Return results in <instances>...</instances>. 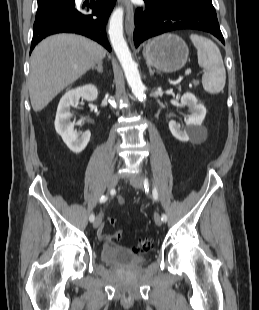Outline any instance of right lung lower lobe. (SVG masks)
I'll return each mask as SVG.
<instances>
[{
    "instance_id": "obj_1",
    "label": "right lung lower lobe",
    "mask_w": 259,
    "mask_h": 310,
    "mask_svg": "<svg viewBox=\"0 0 259 310\" xmlns=\"http://www.w3.org/2000/svg\"><path fill=\"white\" fill-rule=\"evenodd\" d=\"M115 2L116 0H91L90 4L79 7L75 6L73 0L68 5L37 11L30 53L42 39L61 32L82 34L111 51L106 38V23ZM89 9L93 11L91 14L87 13Z\"/></svg>"
}]
</instances>
